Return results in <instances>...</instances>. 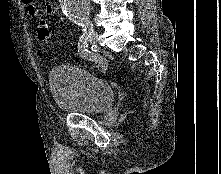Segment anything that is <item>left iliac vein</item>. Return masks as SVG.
Returning <instances> with one entry per match:
<instances>
[{
	"mask_svg": "<svg viewBox=\"0 0 221 174\" xmlns=\"http://www.w3.org/2000/svg\"><path fill=\"white\" fill-rule=\"evenodd\" d=\"M99 35L97 32H92L91 35L88 37V43L92 46H96L98 43Z\"/></svg>",
	"mask_w": 221,
	"mask_h": 174,
	"instance_id": "left-iliac-vein-1",
	"label": "left iliac vein"
}]
</instances>
